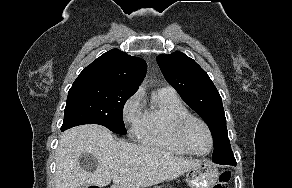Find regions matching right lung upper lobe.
<instances>
[{
	"label": "right lung upper lobe",
	"mask_w": 292,
	"mask_h": 188,
	"mask_svg": "<svg viewBox=\"0 0 292 188\" xmlns=\"http://www.w3.org/2000/svg\"><path fill=\"white\" fill-rule=\"evenodd\" d=\"M146 70L147 64L143 59L112 49L88 65L74 83L103 84L136 92Z\"/></svg>",
	"instance_id": "cb5924a9"
}]
</instances>
